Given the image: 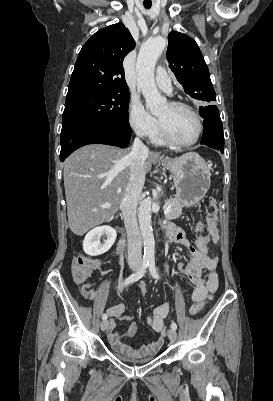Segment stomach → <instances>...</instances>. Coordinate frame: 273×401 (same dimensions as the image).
Instances as JSON below:
<instances>
[{"mask_svg":"<svg viewBox=\"0 0 273 401\" xmlns=\"http://www.w3.org/2000/svg\"><path fill=\"white\" fill-rule=\"evenodd\" d=\"M162 162L174 174L176 198L183 207L197 205L210 188L211 172L198 152H186L176 158H162Z\"/></svg>","mask_w":273,"mask_h":401,"instance_id":"1","label":"stomach"}]
</instances>
